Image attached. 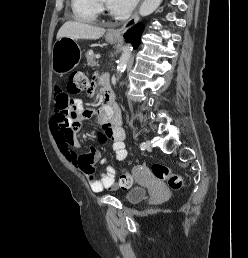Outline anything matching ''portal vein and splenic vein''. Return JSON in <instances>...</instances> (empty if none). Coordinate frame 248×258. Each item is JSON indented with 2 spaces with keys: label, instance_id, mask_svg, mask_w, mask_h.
Listing matches in <instances>:
<instances>
[{
  "label": "portal vein and splenic vein",
  "instance_id": "obj_1",
  "mask_svg": "<svg viewBox=\"0 0 248 258\" xmlns=\"http://www.w3.org/2000/svg\"><path fill=\"white\" fill-rule=\"evenodd\" d=\"M100 58V55H96V59H99Z\"/></svg>",
  "mask_w": 248,
  "mask_h": 258
}]
</instances>
